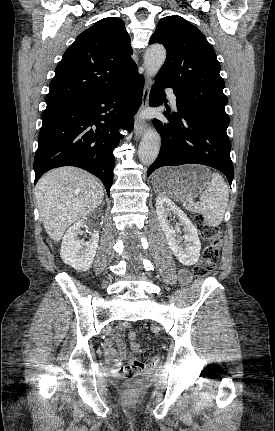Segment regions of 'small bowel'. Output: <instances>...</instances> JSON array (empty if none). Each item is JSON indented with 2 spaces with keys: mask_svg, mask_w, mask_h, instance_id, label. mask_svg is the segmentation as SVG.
<instances>
[{
  "mask_svg": "<svg viewBox=\"0 0 275 431\" xmlns=\"http://www.w3.org/2000/svg\"><path fill=\"white\" fill-rule=\"evenodd\" d=\"M180 279L183 283H188L191 279L189 273L187 271H182L180 273ZM126 325H120L115 329V333L113 337H111L105 346V354L108 357L109 361L114 364H119L120 360L117 357V351L115 350L114 346L116 345L118 349L120 350V353L126 357V362L129 363L132 361L131 356L128 354L126 350V346L124 342L122 341V335L125 332Z\"/></svg>",
  "mask_w": 275,
  "mask_h": 431,
  "instance_id": "small-bowel-1",
  "label": "small bowel"
}]
</instances>
